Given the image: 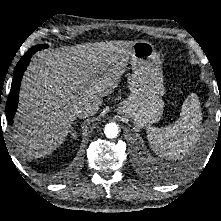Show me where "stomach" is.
<instances>
[{"label":"stomach","mask_w":221,"mask_h":221,"mask_svg":"<svg viewBox=\"0 0 221 221\" xmlns=\"http://www.w3.org/2000/svg\"><path fill=\"white\" fill-rule=\"evenodd\" d=\"M130 57V95L119 104L117 112L130 118L136 127H146L157 122L163 113L161 59L148 41H135Z\"/></svg>","instance_id":"1"}]
</instances>
